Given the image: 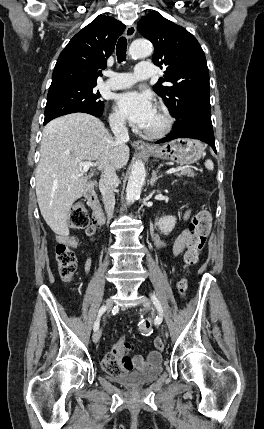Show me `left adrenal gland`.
I'll return each instance as SVG.
<instances>
[{
  "label": "left adrenal gland",
  "instance_id": "1",
  "mask_svg": "<svg viewBox=\"0 0 264 429\" xmlns=\"http://www.w3.org/2000/svg\"><path fill=\"white\" fill-rule=\"evenodd\" d=\"M162 176H157V172L155 170H153L152 172V177L150 179V185L154 186V184L156 183V181L161 178Z\"/></svg>",
  "mask_w": 264,
  "mask_h": 429
}]
</instances>
